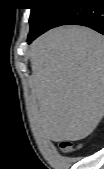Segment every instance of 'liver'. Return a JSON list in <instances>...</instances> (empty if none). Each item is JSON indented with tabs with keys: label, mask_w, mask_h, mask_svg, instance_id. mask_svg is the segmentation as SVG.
Returning a JSON list of instances; mask_svg holds the SVG:
<instances>
[{
	"label": "liver",
	"mask_w": 104,
	"mask_h": 169,
	"mask_svg": "<svg viewBox=\"0 0 104 169\" xmlns=\"http://www.w3.org/2000/svg\"><path fill=\"white\" fill-rule=\"evenodd\" d=\"M34 123L56 142L89 136L104 115V37L83 26H62L30 45Z\"/></svg>",
	"instance_id": "liver-1"
}]
</instances>
